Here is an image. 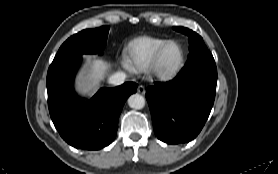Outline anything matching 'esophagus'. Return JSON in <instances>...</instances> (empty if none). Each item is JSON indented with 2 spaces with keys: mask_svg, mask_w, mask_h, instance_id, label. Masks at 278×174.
Returning a JSON list of instances; mask_svg holds the SVG:
<instances>
[{
  "mask_svg": "<svg viewBox=\"0 0 278 174\" xmlns=\"http://www.w3.org/2000/svg\"><path fill=\"white\" fill-rule=\"evenodd\" d=\"M138 93L145 94V87L143 85H139L137 88Z\"/></svg>",
  "mask_w": 278,
  "mask_h": 174,
  "instance_id": "esophagus-1",
  "label": "esophagus"
}]
</instances>
